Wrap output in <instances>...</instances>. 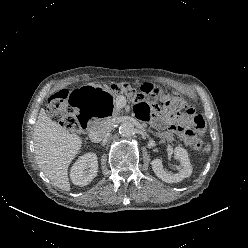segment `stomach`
<instances>
[{
    "label": "stomach",
    "instance_id": "obj_1",
    "mask_svg": "<svg viewBox=\"0 0 248 248\" xmlns=\"http://www.w3.org/2000/svg\"><path fill=\"white\" fill-rule=\"evenodd\" d=\"M70 104L78 112H89L99 120H108L116 112V100L104 86H77L70 93Z\"/></svg>",
    "mask_w": 248,
    "mask_h": 248
}]
</instances>
